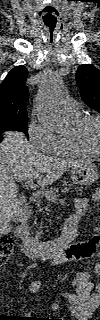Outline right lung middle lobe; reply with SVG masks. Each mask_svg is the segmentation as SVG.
I'll return each instance as SVG.
<instances>
[{
  "instance_id": "obj_1",
  "label": "right lung middle lobe",
  "mask_w": 100,
  "mask_h": 320,
  "mask_svg": "<svg viewBox=\"0 0 100 320\" xmlns=\"http://www.w3.org/2000/svg\"><path fill=\"white\" fill-rule=\"evenodd\" d=\"M27 117L0 120V134L6 131H19L28 135Z\"/></svg>"
}]
</instances>
